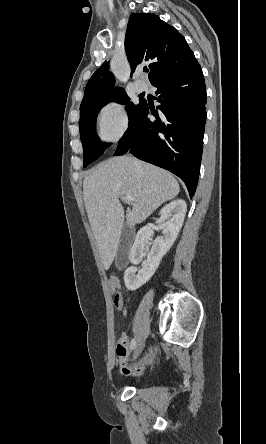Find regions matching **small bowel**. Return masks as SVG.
<instances>
[{"instance_id": "small-bowel-1", "label": "small bowel", "mask_w": 266, "mask_h": 444, "mask_svg": "<svg viewBox=\"0 0 266 444\" xmlns=\"http://www.w3.org/2000/svg\"><path fill=\"white\" fill-rule=\"evenodd\" d=\"M110 283L114 290H118L120 288V282L117 278H112ZM120 310H122L125 313L123 306L120 308ZM128 344H129L128 336L126 334L121 335L116 347V353L118 357L121 359V361H125L128 357ZM138 371L139 368L136 369V372ZM122 372L123 374H129L130 370L124 367L122 369Z\"/></svg>"}]
</instances>
